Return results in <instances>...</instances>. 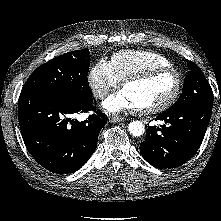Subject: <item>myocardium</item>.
<instances>
[{
	"label": "myocardium",
	"mask_w": 221,
	"mask_h": 221,
	"mask_svg": "<svg viewBox=\"0 0 221 221\" xmlns=\"http://www.w3.org/2000/svg\"><path fill=\"white\" fill-rule=\"evenodd\" d=\"M166 73H172L176 77V87H175L174 92L171 94L169 98H167L165 101H163L162 103L158 105L137 110L139 114H143V115L157 114L171 107L179 98L182 88H183V76L181 72L178 69L171 67V66L170 67H156V68H151V69L139 72L137 74L131 75L122 81L121 88L123 89L125 86L129 84L145 82L156 76L166 74Z\"/></svg>",
	"instance_id": "f54148a6"
}]
</instances>
